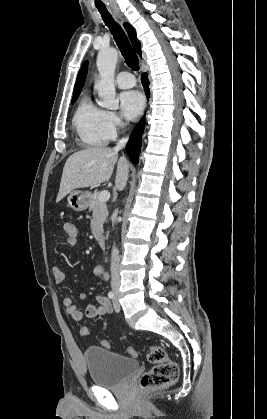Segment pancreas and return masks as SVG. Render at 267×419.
<instances>
[{
    "label": "pancreas",
    "instance_id": "obj_1",
    "mask_svg": "<svg viewBox=\"0 0 267 419\" xmlns=\"http://www.w3.org/2000/svg\"><path fill=\"white\" fill-rule=\"evenodd\" d=\"M99 192L95 191L89 201V211H92L91 231L98 240L103 233V224L108 217L107 205L98 199Z\"/></svg>",
    "mask_w": 267,
    "mask_h": 419
}]
</instances>
